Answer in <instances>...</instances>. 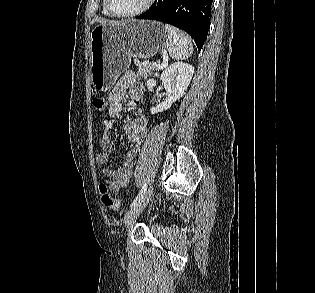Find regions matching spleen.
I'll use <instances>...</instances> for the list:
<instances>
[{
	"label": "spleen",
	"instance_id": "spleen-1",
	"mask_svg": "<svg viewBox=\"0 0 315 293\" xmlns=\"http://www.w3.org/2000/svg\"><path fill=\"white\" fill-rule=\"evenodd\" d=\"M164 29L169 38L168 52L170 57L174 60H184L190 57L193 53V45L188 35L169 24H165Z\"/></svg>",
	"mask_w": 315,
	"mask_h": 293
}]
</instances>
